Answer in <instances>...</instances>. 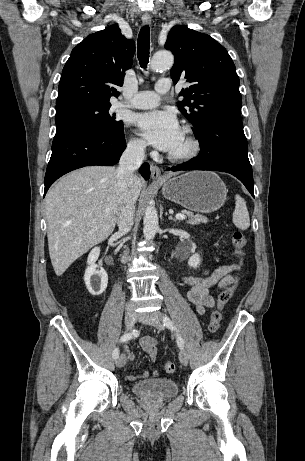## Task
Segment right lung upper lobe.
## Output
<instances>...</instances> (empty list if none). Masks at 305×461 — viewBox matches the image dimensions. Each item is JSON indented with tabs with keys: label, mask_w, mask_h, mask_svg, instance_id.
<instances>
[{
	"label": "right lung upper lobe",
	"mask_w": 305,
	"mask_h": 461,
	"mask_svg": "<svg viewBox=\"0 0 305 461\" xmlns=\"http://www.w3.org/2000/svg\"><path fill=\"white\" fill-rule=\"evenodd\" d=\"M135 43L117 25L87 36L71 52L59 82L56 108L80 102L110 103L131 68Z\"/></svg>",
	"instance_id": "obj_1"
}]
</instances>
